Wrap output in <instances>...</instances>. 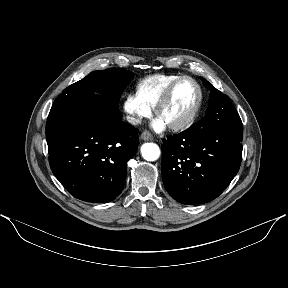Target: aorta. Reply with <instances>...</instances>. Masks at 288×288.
I'll list each match as a JSON object with an SVG mask.
<instances>
[{
    "mask_svg": "<svg viewBox=\"0 0 288 288\" xmlns=\"http://www.w3.org/2000/svg\"><path fill=\"white\" fill-rule=\"evenodd\" d=\"M142 157L147 161H155L160 156L159 146L155 143H145L141 147Z\"/></svg>",
    "mask_w": 288,
    "mask_h": 288,
    "instance_id": "aorta-1",
    "label": "aorta"
}]
</instances>
